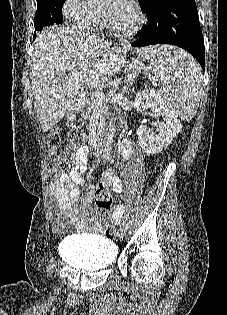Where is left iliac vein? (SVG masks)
<instances>
[{"mask_svg": "<svg viewBox=\"0 0 227 315\" xmlns=\"http://www.w3.org/2000/svg\"><path fill=\"white\" fill-rule=\"evenodd\" d=\"M128 230V225L127 224H123L122 228H121V236L126 235Z\"/></svg>", "mask_w": 227, "mask_h": 315, "instance_id": "obj_1", "label": "left iliac vein"}]
</instances>
